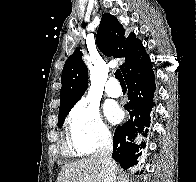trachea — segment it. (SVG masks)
I'll return each instance as SVG.
<instances>
[{"mask_svg":"<svg viewBox=\"0 0 196 182\" xmlns=\"http://www.w3.org/2000/svg\"><path fill=\"white\" fill-rule=\"evenodd\" d=\"M115 77L119 80L121 85H126L121 71L118 69L115 72Z\"/></svg>","mask_w":196,"mask_h":182,"instance_id":"1","label":"trachea"}]
</instances>
